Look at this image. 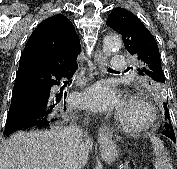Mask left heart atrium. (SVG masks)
I'll return each mask as SVG.
<instances>
[{"instance_id":"1","label":"left heart atrium","mask_w":177,"mask_h":169,"mask_svg":"<svg viewBox=\"0 0 177 169\" xmlns=\"http://www.w3.org/2000/svg\"><path fill=\"white\" fill-rule=\"evenodd\" d=\"M80 103L95 112L120 111L123 107L120 94L105 81L87 88L80 97Z\"/></svg>"}]
</instances>
